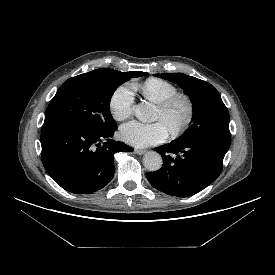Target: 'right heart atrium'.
<instances>
[{
	"instance_id": "obj_1",
	"label": "right heart atrium",
	"mask_w": 275,
	"mask_h": 275,
	"mask_svg": "<svg viewBox=\"0 0 275 275\" xmlns=\"http://www.w3.org/2000/svg\"><path fill=\"white\" fill-rule=\"evenodd\" d=\"M135 93L132 83L118 86L109 98V110L117 121L128 119L134 109Z\"/></svg>"
}]
</instances>
